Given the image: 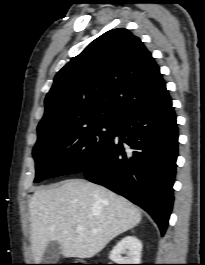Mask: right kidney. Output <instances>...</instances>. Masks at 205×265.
Returning <instances> with one entry per match:
<instances>
[{"instance_id":"1","label":"right kidney","mask_w":205,"mask_h":265,"mask_svg":"<svg viewBox=\"0 0 205 265\" xmlns=\"http://www.w3.org/2000/svg\"><path fill=\"white\" fill-rule=\"evenodd\" d=\"M142 243L135 236H126L110 252V259L116 264H140ZM127 254L122 257L121 254Z\"/></svg>"}]
</instances>
